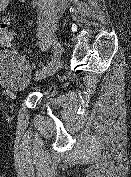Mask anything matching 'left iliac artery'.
I'll return each mask as SVG.
<instances>
[{"label": "left iliac artery", "mask_w": 131, "mask_h": 177, "mask_svg": "<svg viewBox=\"0 0 131 177\" xmlns=\"http://www.w3.org/2000/svg\"><path fill=\"white\" fill-rule=\"evenodd\" d=\"M54 63L53 59H48L46 62L47 66H51ZM47 66L42 67L39 71L36 72V75L39 73H42L43 71H45L47 69Z\"/></svg>", "instance_id": "left-iliac-artery-1"}]
</instances>
